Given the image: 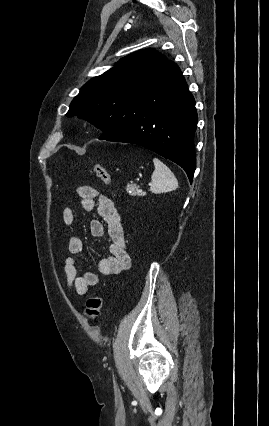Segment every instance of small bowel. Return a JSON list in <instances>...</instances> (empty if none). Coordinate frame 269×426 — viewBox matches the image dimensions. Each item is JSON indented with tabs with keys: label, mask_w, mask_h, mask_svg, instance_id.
<instances>
[{
	"label": "small bowel",
	"mask_w": 269,
	"mask_h": 426,
	"mask_svg": "<svg viewBox=\"0 0 269 426\" xmlns=\"http://www.w3.org/2000/svg\"><path fill=\"white\" fill-rule=\"evenodd\" d=\"M77 194L81 199V206L85 212L97 210L101 218L93 219L90 222V233L95 238H101L107 232L110 239V255L99 263V271L104 275H118L131 265V259L126 247L125 233L121 217L116 210L111 199L92 186H80ZM62 220L67 226H72L76 222V213L71 208H65L62 211ZM69 256L65 259L64 272L66 283L79 295H87L92 287L99 284V277L96 273L86 271L79 273L75 255L83 249V241L78 236H72L67 244Z\"/></svg>",
	"instance_id": "c3829d8e"
}]
</instances>
